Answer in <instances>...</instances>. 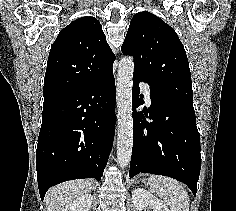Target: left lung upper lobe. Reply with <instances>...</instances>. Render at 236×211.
<instances>
[{
	"mask_svg": "<svg viewBox=\"0 0 236 211\" xmlns=\"http://www.w3.org/2000/svg\"><path fill=\"white\" fill-rule=\"evenodd\" d=\"M135 61L134 74L174 100L193 106L191 73L175 30L147 11L136 13L121 48Z\"/></svg>",
	"mask_w": 236,
	"mask_h": 211,
	"instance_id": "5c2ea615",
	"label": "left lung upper lobe"
}]
</instances>
